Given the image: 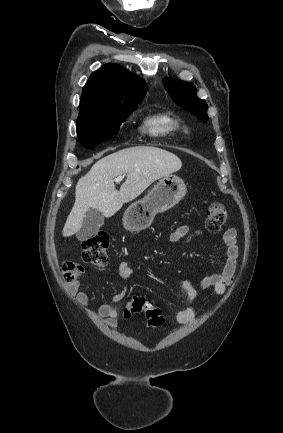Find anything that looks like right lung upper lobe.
Masks as SVG:
<instances>
[{"instance_id":"right-lung-upper-lobe-1","label":"right lung upper lobe","mask_w":283,"mask_h":433,"mask_svg":"<svg viewBox=\"0 0 283 433\" xmlns=\"http://www.w3.org/2000/svg\"><path fill=\"white\" fill-rule=\"evenodd\" d=\"M146 93L145 81L116 64L94 72L83 88L79 109L137 107Z\"/></svg>"}]
</instances>
